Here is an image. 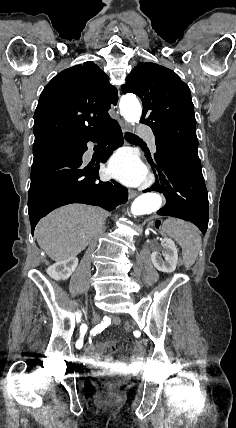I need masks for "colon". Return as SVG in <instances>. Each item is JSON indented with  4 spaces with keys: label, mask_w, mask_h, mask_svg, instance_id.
<instances>
[{
    "label": "colon",
    "mask_w": 236,
    "mask_h": 428,
    "mask_svg": "<svg viewBox=\"0 0 236 428\" xmlns=\"http://www.w3.org/2000/svg\"><path fill=\"white\" fill-rule=\"evenodd\" d=\"M124 329H125L126 331H129V330L131 329V325H130L129 323H125V325H124Z\"/></svg>",
    "instance_id": "1"
}]
</instances>
